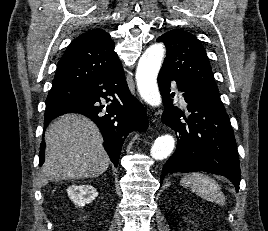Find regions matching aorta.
Returning <instances> with one entry per match:
<instances>
[{
  "instance_id": "1",
  "label": "aorta",
  "mask_w": 268,
  "mask_h": 231,
  "mask_svg": "<svg viewBox=\"0 0 268 231\" xmlns=\"http://www.w3.org/2000/svg\"><path fill=\"white\" fill-rule=\"evenodd\" d=\"M164 55L165 47L163 44L157 43L151 45L139 59L136 70V82L139 94L147 104L153 107H158L161 104L157 75L161 68ZM174 145L175 140L172 135H161L155 140L151 148V156L155 160H163L171 154Z\"/></svg>"
}]
</instances>
